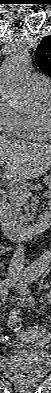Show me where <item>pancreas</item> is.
I'll list each match as a JSON object with an SVG mask.
<instances>
[{
  "label": "pancreas",
  "instance_id": "pancreas-1",
  "mask_svg": "<svg viewBox=\"0 0 51 393\" xmlns=\"http://www.w3.org/2000/svg\"><path fill=\"white\" fill-rule=\"evenodd\" d=\"M43 181L48 186L51 184V179L48 176L44 177ZM23 187L28 189V184H24ZM27 198L23 192L10 191L8 210L10 217L14 221L19 220L20 223L29 221L30 214L28 212ZM22 208L25 211L24 214H22Z\"/></svg>",
  "mask_w": 51,
  "mask_h": 393
}]
</instances>
